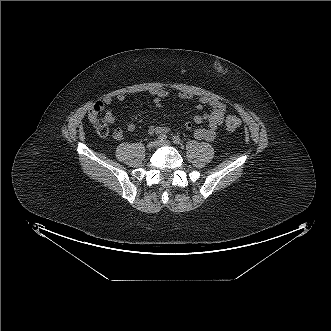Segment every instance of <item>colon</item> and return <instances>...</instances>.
I'll use <instances>...</instances> for the list:
<instances>
[{"instance_id":"5ec220e1","label":"colon","mask_w":331,"mask_h":331,"mask_svg":"<svg viewBox=\"0 0 331 331\" xmlns=\"http://www.w3.org/2000/svg\"><path fill=\"white\" fill-rule=\"evenodd\" d=\"M96 127L97 132L101 136H106L108 134V127L105 123L100 120L93 123ZM225 125L228 130H236L240 126V120L233 114H228L225 118Z\"/></svg>"}]
</instances>
